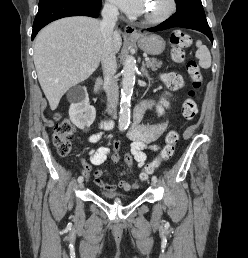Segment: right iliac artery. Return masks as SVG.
<instances>
[{
    "label": "right iliac artery",
    "instance_id": "obj_1",
    "mask_svg": "<svg viewBox=\"0 0 248 258\" xmlns=\"http://www.w3.org/2000/svg\"><path fill=\"white\" fill-rule=\"evenodd\" d=\"M83 181V177L82 176H79L78 177V182L80 183V182H82Z\"/></svg>",
    "mask_w": 248,
    "mask_h": 258
}]
</instances>
